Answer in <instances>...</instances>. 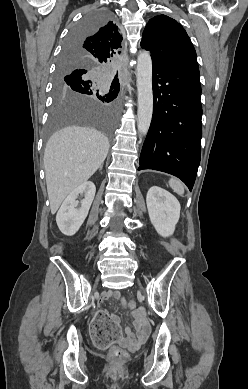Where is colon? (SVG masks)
Wrapping results in <instances>:
<instances>
[{"label":"colon","instance_id":"obj_1","mask_svg":"<svg viewBox=\"0 0 248 389\" xmlns=\"http://www.w3.org/2000/svg\"><path fill=\"white\" fill-rule=\"evenodd\" d=\"M127 308L133 309L135 301L130 300L126 304ZM94 321L89 327V332L95 338L93 345L97 350H106L107 344H114L115 340L123 339V331L120 330V323L113 322L108 311H97ZM112 370H117L126 359L127 352L119 347H113L108 352Z\"/></svg>","mask_w":248,"mask_h":389}]
</instances>
